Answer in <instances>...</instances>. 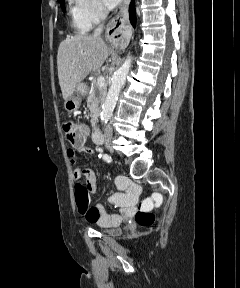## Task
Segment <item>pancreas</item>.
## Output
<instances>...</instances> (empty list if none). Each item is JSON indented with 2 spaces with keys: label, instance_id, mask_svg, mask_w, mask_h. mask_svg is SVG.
I'll return each mask as SVG.
<instances>
[{
  "label": "pancreas",
  "instance_id": "1",
  "mask_svg": "<svg viewBox=\"0 0 240 288\" xmlns=\"http://www.w3.org/2000/svg\"><path fill=\"white\" fill-rule=\"evenodd\" d=\"M107 93L106 86L100 87L97 84V81H94L92 83L91 87V93L88 96L87 99V106L91 112V116L93 117L95 114H97V111L99 109L100 102L104 100Z\"/></svg>",
  "mask_w": 240,
  "mask_h": 288
}]
</instances>
